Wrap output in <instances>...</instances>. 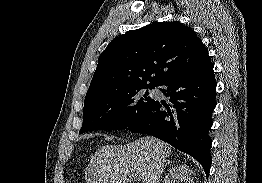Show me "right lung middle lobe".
Listing matches in <instances>:
<instances>
[{
  "label": "right lung middle lobe",
  "mask_w": 262,
  "mask_h": 183,
  "mask_svg": "<svg viewBox=\"0 0 262 183\" xmlns=\"http://www.w3.org/2000/svg\"><path fill=\"white\" fill-rule=\"evenodd\" d=\"M145 88L148 87L132 88L84 102L80 133L127 128L153 102L147 91L143 95Z\"/></svg>",
  "instance_id": "dd1d6c3e"
}]
</instances>
